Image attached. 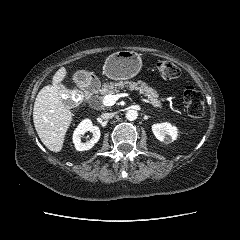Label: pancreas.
<instances>
[{
	"instance_id": "obj_1",
	"label": "pancreas",
	"mask_w": 240,
	"mask_h": 240,
	"mask_svg": "<svg viewBox=\"0 0 240 240\" xmlns=\"http://www.w3.org/2000/svg\"><path fill=\"white\" fill-rule=\"evenodd\" d=\"M124 88L129 90H137L139 94L147 97L154 106L162 107L163 100L159 99L157 91L142 81H120L104 83L96 95L97 101L93 107L95 109L103 110L105 108L103 105V98L109 94L113 95L115 92H118Z\"/></svg>"
}]
</instances>
